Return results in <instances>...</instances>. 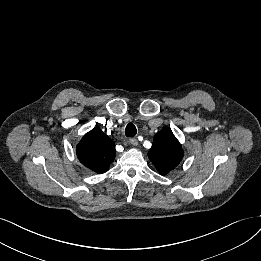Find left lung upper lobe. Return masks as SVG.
Masks as SVG:
<instances>
[{"mask_svg": "<svg viewBox=\"0 0 261 261\" xmlns=\"http://www.w3.org/2000/svg\"><path fill=\"white\" fill-rule=\"evenodd\" d=\"M148 157L162 175H166L180 163L183 150L169 127H163L154 136Z\"/></svg>", "mask_w": 261, "mask_h": 261, "instance_id": "5c2ea615", "label": "left lung upper lobe"}]
</instances>
